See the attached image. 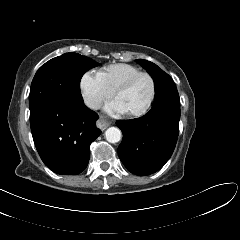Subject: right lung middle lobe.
I'll list each match as a JSON object with an SVG mask.
<instances>
[{
  "mask_svg": "<svg viewBox=\"0 0 240 240\" xmlns=\"http://www.w3.org/2000/svg\"><path fill=\"white\" fill-rule=\"evenodd\" d=\"M92 59L77 53H65L42 65L30 89V113L55 102H81L80 80L85 72L98 66Z\"/></svg>",
  "mask_w": 240,
  "mask_h": 240,
  "instance_id": "right-lung-middle-lobe-1",
  "label": "right lung middle lobe"
}]
</instances>
